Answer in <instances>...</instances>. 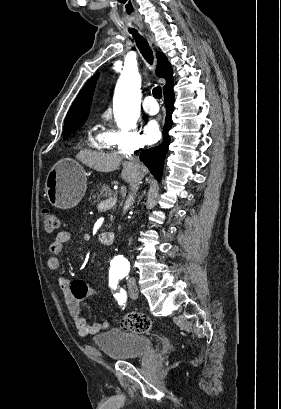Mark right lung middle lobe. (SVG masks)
<instances>
[{"label":"right lung middle lobe","instance_id":"obj_1","mask_svg":"<svg viewBox=\"0 0 281 409\" xmlns=\"http://www.w3.org/2000/svg\"><path fill=\"white\" fill-rule=\"evenodd\" d=\"M81 125L78 126H64L63 129V139L66 140L70 134L77 130Z\"/></svg>","mask_w":281,"mask_h":409}]
</instances>
